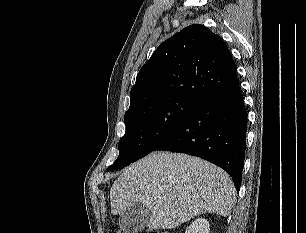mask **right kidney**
Returning <instances> with one entry per match:
<instances>
[{"label": "right kidney", "mask_w": 306, "mask_h": 233, "mask_svg": "<svg viewBox=\"0 0 306 233\" xmlns=\"http://www.w3.org/2000/svg\"><path fill=\"white\" fill-rule=\"evenodd\" d=\"M209 222L205 219L198 218L192 224L186 228L185 233H209Z\"/></svg>", "instance_id": "obj_1"}]
</instances>
